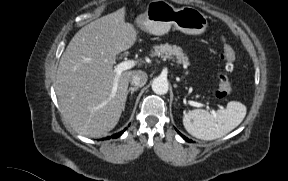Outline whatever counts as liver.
I'll return each instance as SVG.
<instances>
[{
  "label": "liver",
  "mask_w": 288,
  "mask_h": 181,
  "mask_svg": "<svg viewBox=\"0 0 288 181\" xmlns=\"http://www.w3.org/2000/svg\"><path fill=\"white\" fill-rule=\"evenodd\" d=\"M125 13L122 7L81 28L61 56L55 86L59 106L81 135L99 137L117 125L129 82L138 71L117 76L113 70L116 55L131 48L137 38L134 26L125 23Z\"/></svg>",
  "instance_id": "obj_1"
}]
</instances>
